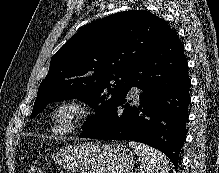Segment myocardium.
I'll return each instance as SVG.
<instances>
[{
	"label": "myocardium",
	"mask_w": 219,
	"mask_h": 173,
	"mask_svg": "<svg viewBox=\"0 0 219 173\" xmlns=\"http://www.w3.org/2000/svg\"><path fill=\"white\" fill-rule=\"evenodd\" d=\"M63 110H69L70 119L65 125L58 122V114ZM92 108L89 104L79 98L69 97L58 101L51 110V123L54 133L65 136L76 131L91 116Z\"/></svg>",
	"instance_id": "1"
}]
</instances>
